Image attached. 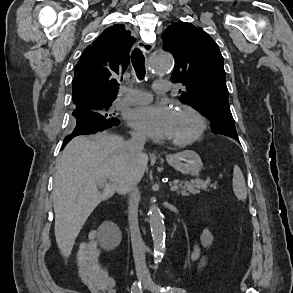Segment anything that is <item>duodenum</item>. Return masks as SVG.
<instances>
[{"mask_svg": "<svg viewBox=\"0 0 293 293\" xmlns=\"http://www.w3.org/2000/svg\"><path fill=\"white\" fill-rule=\"evenodd\" d=\"M120 221H121V223H122L123 225H125V222H124L122 219H120Z\"/></svg>", "mask_w": 293, "mask_h": 293, "instance_id": "1", "label": "duodenum"}]
</instances>
